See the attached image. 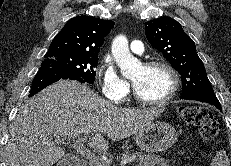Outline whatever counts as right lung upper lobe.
<instances>
[{
    "label": "right lung upper lobe",
    "mask_w": 231,
    "mask_h": 166,
    "mask_svg": "<svg viewBox=\"0 0 231 166\" xmlns=\"http://www.w3.org/2000/svg\"><path fill=\"white\" fill-rule=\"evenodd\" d=\"M113 27L114 22L111 20L88 16L74 17L54 37L47 53L98 56L104 37Z\"/></svg>",
    "instance_id": "1"
}]
</instances>
